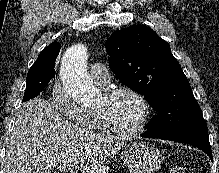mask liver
<instances>
[{"label":"liver","instance_id":"1","mask_svg":"<svg viewBox=\"0 0 219 173\" xmlns=\"http://www.w3.org/2000/svg\"><path fill=\"white\" fill-rule=\"evenodd\" d=\"M123 138L96 134L63 120L46 100L25 102L7 143L5 173H51L82 167L83 173H106Z\"/></svg>","mask_w":219,"mask_h":173}]
</instances>
